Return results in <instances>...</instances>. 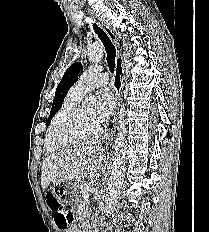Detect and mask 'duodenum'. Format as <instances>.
<instances>
[{
	"label": "duodenum",
	"instance_id": "410a0bca",
	"mask_svg": "<svg viewBox=\"0 0 209 232\" xmlns=\"http://www.w3.org/2000/svg\"><path fill=\"white\" fill-rule=\"evenodd\" d=\"M91 230H92V232H99L98 227L95 223L92 224Z\"/></svg>",
	"mask_w": 209,
	"mask_h": 232
}]
</instances>
